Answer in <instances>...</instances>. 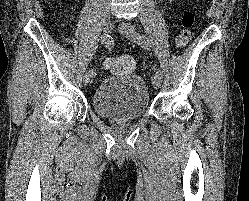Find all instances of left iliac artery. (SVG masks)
<instances>
[{"label": "left iliac artery", "instance_id": "left-iliac-artery-1", "mask_svg": "<svg viewBox=\"0 0 249 201\" xmlns=\"http://www.w3.org/2000/svg\"><path fill=\"white\" fill-rule=\"evenodd\" d=\"M136 41H137V43L139 44V45H141L142 47H144V48H149V46H150V43H149V40H148V38H146L144 35H142V34H139V33H137L136 34ZM156 74H158L159 76H162V73H161V71L160 70H158L157 72H156Z\"/></svg>", "mask_w": 249, "mask_h": 201}]
</instances>
